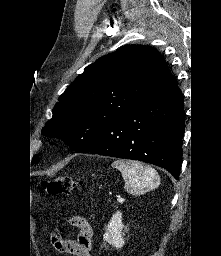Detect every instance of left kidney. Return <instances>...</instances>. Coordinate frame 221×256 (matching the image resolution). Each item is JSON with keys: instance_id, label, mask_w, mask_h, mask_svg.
I'll return each mask as SVG.
<instances>
[{"instance_id": "5707ae66", "label": "left kidney", "mask_w": 221, "mask_h": 256, "mask_svg": "<svg viewBox=\"0 0 221 256\" xmlns=\"http://www.w3.org/2000/svg\"><path fill=\"white\" fill-rule=\"evenodd\" d=\"M124 225L122 223V213L116 212L110 222L107 225L106 232L103 235V239L109 245L116 247L117 249L123 247L125 241L122 237V230Z\"/></svg>"}]
</instances>
